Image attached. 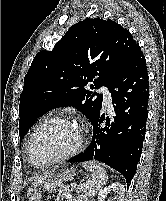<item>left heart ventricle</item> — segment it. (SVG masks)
I'll list each match as a JSON object with an SVG mask.
<instances>
[{
	"label": "left heart ventricle",
	"instance_id": "1",
	"mask_svg": "<svg viewBox=\"0 0 166 201\" xmlns=\"http://www.w3.org/2000/svg\"><path fill=\"white\" fill-rule=\"evenodd\" d=\"M80 138L79 127L70 121H53L37 133L32 155L36 164L42 165L75 148Z\"/></svg>",
	"mask_w": 166,
	"mask_h": 201
}]
</instances>
